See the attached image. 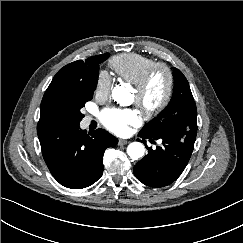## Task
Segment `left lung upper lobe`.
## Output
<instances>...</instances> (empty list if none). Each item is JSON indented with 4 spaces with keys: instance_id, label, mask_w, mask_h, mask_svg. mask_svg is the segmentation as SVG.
<instances>
[{
    "instance_id": "1",
    "label": "left lung upper lobe",
    "mask_w": 243,
    "mask_h": 243,
    "mask_svg": "<svg viewBox=\"0 0 243 243\" xmlns=\"http://www.w3.org/2000/svg\"><path fill=\"white\" fill-rule=\"evenodd\" d=\"M196 120V105L188 81L180 70L174 69V93L169 105L148 122L141 132L152 138L171 133L194 144Z\"/></svg>"
}]
</instances>
